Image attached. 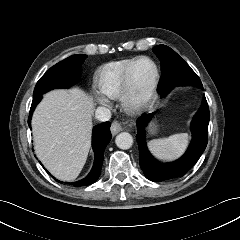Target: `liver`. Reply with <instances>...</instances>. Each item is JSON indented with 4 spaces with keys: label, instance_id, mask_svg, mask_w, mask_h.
<instances>
[{
    "label": "liver",
    "instance_id": "liver-1",
    "mask_svg": "<svg viewBox=\"0 0 240 240\" xmlns=\"http://www.w3.org/2000/svg\"><path fill=\"white\" fill-rule=\"evenodd\" d=\"M93 98L78 88L44 95L32 118L35 151L56 178L72 181L86 163L91 145Z\"/></svg>",
    "mask_w": 240,
    "mask_h": 240
}]
</instances>
